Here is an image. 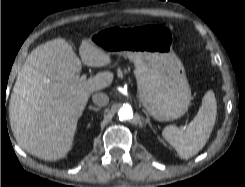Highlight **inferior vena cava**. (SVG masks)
I'll list each match as a JSON object with an SVG mask.
<instances>
[{
  "label": "inferior vena cava",
  "instance_id": "obj_1",
  "mask_svg": "<svg viewBox=\"0 0 245 187\" xmlns=\"http://www.w3.org/2000/svg\"><path fill=\"white\" fill-rule=\"evenodd\" d=\"M92 100L94 104L101 107V106H106L108 104L109 97L105 93H95L92 96Z\"/></svg>",
  "mask_w": 245,
  "mask_h": 187
}]
</instances>
